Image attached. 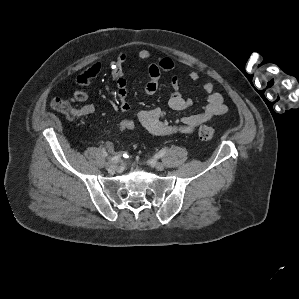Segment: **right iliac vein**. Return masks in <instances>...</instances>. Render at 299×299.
<instances>
[{
  "label": "right iliac vein",
  "mask_w": 299,
  "mask_h": 299,
  "mask_svg": "<svg viewBox=\"0 0 299 299\" xmlns=\"http://www.w3.org/2000/svg\"><path fill=\"white\" fill-rule=\"evenodd\" d=\"M105 166L110 172L115 171L117 168V165L113 162H107Z\"/></svg>",
  "instance_id": "63e3f726"
}]
</instances>
